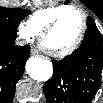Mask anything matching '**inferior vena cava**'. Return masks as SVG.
Here are the masks:
<instances>
[{
    "instance_id": "inferior-vena-cava-1",
    "label": "inferior vena cava",
    "mask_w": 103,
    "mask_h": 103,
    "mask_svg": "<svg viewBox=\"0 0 103 103\" xmlns=\"http://www.w3.org/2000/svg\"><path fill=\"white\" fill-rule=\"evenodd\" d=\"M17 44H22V42H17Z\"/></svg>"
}]
</instances>
